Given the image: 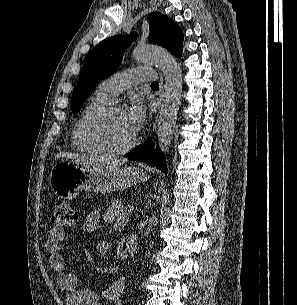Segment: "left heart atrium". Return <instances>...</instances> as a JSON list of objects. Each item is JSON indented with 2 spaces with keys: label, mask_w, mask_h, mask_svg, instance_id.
Wrapping results in <instances>:
<instances>
[{
  "label": "left heart atrium",
  "mask_w": 297,
  "mask_h": 305,
  "mask_svg": "<svg viewBox=\"0 0 297 305\" xmlns=\"http://www.w3.org/2000/svg\"><path fill=\"white\" fill-rule=\"evenodd\" d=\"M125 118L136 135L146 122V109L139 98H135L124 111Z\"/></svg>",
  "instance_id": "obj_1"
}]
</instances>
